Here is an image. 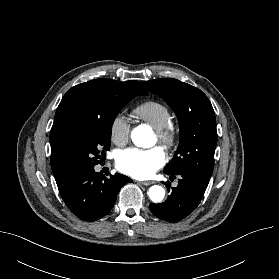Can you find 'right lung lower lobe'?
Here are the masks:
<instances>
[{"label":"right lung lower lobe","instance_id":"98d812e1","mask_svg":"<svg viewBox=\"0 0 279 279\" xmlns=\"http://www.w3.org/2000/svg\"><path fill=\"white\" fill-rule=\"evenodd\" d=\"M132 180L116 173L106 178L94 167L72 174L58 187L70 211L84 221H96L107 215L116 201L120 188Z\"/></svg>","mask_w":279,"mask_h":279}]
</instances>
